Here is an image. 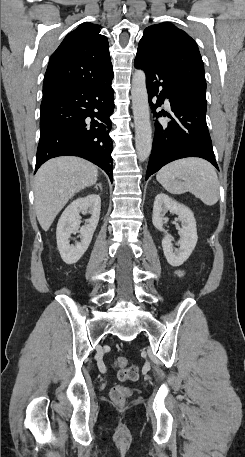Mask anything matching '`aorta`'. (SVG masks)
I'll use <instances>...</instances> for the list:
<instances>
[{"label": "aorta", "mask_w": 245, "mask_h": 457, "mask_svg": "<svg viewBox=\"0 0 245 457\" xmlns=\"http://www.w3.org/2000/svg\"><path fill=\"white\" fill-rule=\"evenodd\" d=\"M132 109L135 123V147L140 161H145L152 148V128L146 75L143 70H136L132 77Z\"/></svg>", "instance_id": "762f6f07"}]
</instances>
